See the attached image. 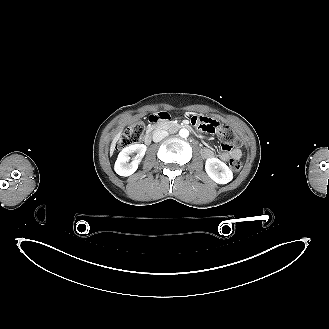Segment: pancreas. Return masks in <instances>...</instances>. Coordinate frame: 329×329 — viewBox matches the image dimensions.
Here are the masks:
<instances>
[{
    "instance_id": "obj_1",
    "label": "pancreas",
    "mask_w": 329,
    "mask_h": 329,
    "mask_svg": "<svg viewBox=\"0 0 329 329\" xmlns=\"http://www.w3.org/2000/svg\"><path fill=\"white\" fill-rule=\"evenodd\" d=\"M175 125L173 124V123H171V124H166L165 125V129H170V128H172V127H174Z\"/></svg>"
}]
</instances>
